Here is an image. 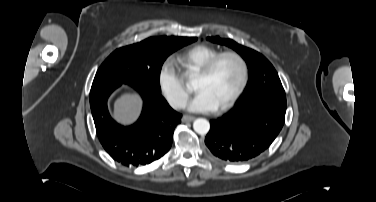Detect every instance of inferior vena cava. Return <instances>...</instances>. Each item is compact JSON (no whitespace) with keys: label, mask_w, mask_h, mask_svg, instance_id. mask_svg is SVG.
Returning a JSON list of instances; mask_svg holds the SVG:
<instances>
[{"label":"inferior vena cava","mask_w":376,"mask_h":202,"mask_svg":"<svg viewBox=\"0 0 376 202\" xmlns=\"http://www.w3.org/2000/svg\"><path fill=\"white\" fill-rule=\"evenodd\" d=\"M170 105L173 107V108H185L186 106V98L184 97H177L175 99H173L172 101H170Z\"/></svg>","instance_id":"obj_1"}]
</instances>
